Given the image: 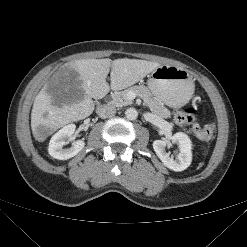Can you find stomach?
I'll return each mask as SVG.
<instances>
[{
  "label": "stomach",
  "mask_w": 247,
  "mask_h": 247,
  "mask_svg": "<svg viewBox=\"0 0 247 247\" xmlns=\"http://www.w3.org/2000/svg\"><path fill=\"white\" fill-rule=\"evenodd\" d=\"M148 89L171 108L184 106L194 91L192 77L186 69L160 65L148 75Z\"/></svg>",
  "instance_id": "1"
}]
</instances>
